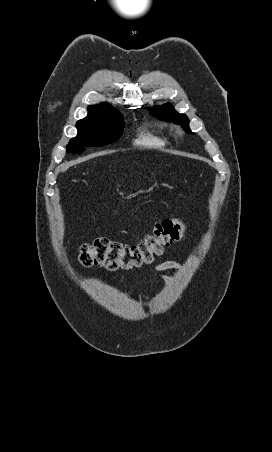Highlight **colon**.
<instances>
[{"mask_svg": "<svg viewBox=\"0 0 272 452\" xmlns=\"http://www.w3.org/2000/svg\"><path fill=\"white\" fill-rule=\"evenodd\" d=\"M185 223L176 219L158 222L151 234L135 245H123L107 239H96L80 248L79 263L84 267L134 269L151 264L165 248L179 241Z\"/></svg>", "mask_w": 272, "mask_h": 452, "instance_id": "obj_1", "label": "colon"}]
</instances>
